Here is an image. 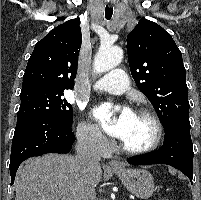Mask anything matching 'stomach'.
<instances>
[{"mask_svg":"<svg viewBox=\"0 0 201 200\" xmlns=\"http://www.w3.org/2000/svg\"><path fill=\"white\" fill-rule=\"evenodd\" d=\"M125 187L141 199L149 198L154 192L152 175L143 169H113Z\"/></svg>","mask_w":201,"mask_h":200,"instance_id":"0dacf381","label":"stomach"}]
</instances>
